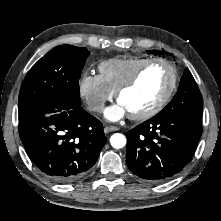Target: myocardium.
Instances as JSON below:
<instances>
[{
	"label": "myocardium",
	"mask_w": 221,
	"mask_h": 221,
	"mask_svg": "<svg viewBox=\"0 0 221 221\" xmlns=\"http://www.w3.org/2000/svg\"><path fill=\"white\" fill-rule=\"evenodd\" d=\"M154 63H160L168 67L171 73V79L167 90L163 95L156 101V103L151 106L149 109L140 112L129 114L130 118L136 121H143L154 117L158 114L164 106L171 99L172 95L175 92L177 83H178V73L175 66L168 60L161 58H151L147 59L143 64H141L131 75L128 77L115 91L116 100L119 101L120 96L129 88H131L140 78L144 70Z\"/></svg>",
	"instance_id": "obj_1"
}]
</instances>
